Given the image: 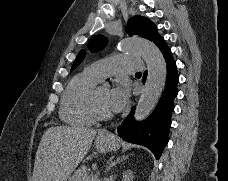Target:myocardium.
Segmentation results:
<instances>
[{
    "label": "myocardium",
    "instance_id": "myocardium-1",
    "mask_svg": "<svg viewBox=\"0 0 228 181\" xmlns=\"http://www.w3.org/2000/svg\"><path fill=\"white\" fill-rule=\"evenodd\" d=\"M98 91H99V89H97L94 94L93 109L95 111L96 116L99 117L100 119H109L112 117V115L109 111L105 110L101 106V104L99 102V98H98Z\"/></svg>",
    "mask_w": 228,
    "mask_h": 181
}]
</instances>
